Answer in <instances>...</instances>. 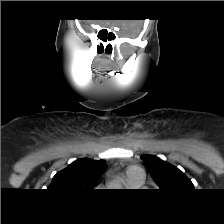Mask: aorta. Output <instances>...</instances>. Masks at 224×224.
Returning a JSON list of instances; mask_svg holds the SVG:
<instances>
[{"label": "aorta", "instance_id": "1", "mask_svg": "<svg viewBox=\"0 0 224 224\" xmlns=\"http://www.w3.org/2000/svg\"><path fill=\"white\" fill-rule=\"evenodd\" d=\"M115 186H116V187H119L120 185H119V184H115Z\"/></svg>", "mask_w": 224, "mask_h": 224}]
</instances>
